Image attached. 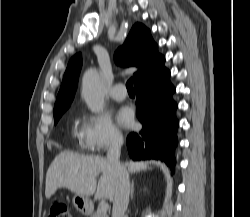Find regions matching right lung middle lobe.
<instances>
[{"mask_svg":"<svg viewBox=\"0 0 250 217\" xmlns=\"http://www.w3.org/2000/svg\"><path fill=\"white\" fill-rule=\"evenodd\" d=\"M63 113H64V111L63 112H58V113L54 114L55 124L58 122V120L60 119V117L62 116Z\"/></svg>","mask_w":250,"mask_h":217,"instance_id":"dd1d6c3e","label":"right lung middle lobe"}]
</instances>
